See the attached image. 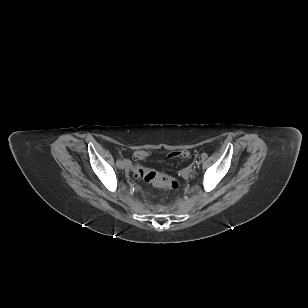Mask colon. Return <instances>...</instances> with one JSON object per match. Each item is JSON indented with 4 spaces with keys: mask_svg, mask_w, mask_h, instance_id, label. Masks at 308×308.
<instances>
[{
    "mask_svg": "<svg viewBox=\"0 0 308 308\" xmlns=\"http://www.w3.org/2000/svg\"><path fill=\"white\" fill-rule=\"evenodd\" d=\"M189 155L190 153L187 150H179L171 152L169 157L186 159L189 157ZM146 156L147 152L143 150L136 151L134 153V158L137 160L144 159ZM133 173L136 177H140L146 182L151 183L157 187L175 190L179 185L176 179L167 175L166 173L143 166H135L133 168Z\"/></svg>",
    "mask_w": 308,
    "mask_h": 308,
    "instance_id": "5ec220e1",
    "label": "colon"
}]
</instances>
